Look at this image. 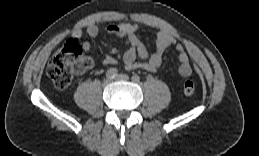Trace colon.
Listing matches in <instances>:
<instances>
[{"label":"colon","mask_w":259,"mask_h":156,"mask_svg":"<svg viewBox=\"0 0 259 156\" xmlns=\"http://www.w3.org/2000/svg\"><path fill=\"white\" fill-rule=\"evenodd\" d=\"M91 60L83 55V48L76 40H69L53 54L46 68L47 75L57 89H65L73 78L91 67ZM195 85L192 81L183 84L185 95H192Z\"/></svg>","instance_id":"colon-1"}]
</instances>
